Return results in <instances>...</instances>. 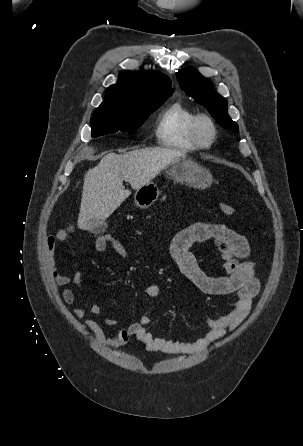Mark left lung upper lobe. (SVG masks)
Returning <instances> with one entry per match:
<instances>
[{
  "instance_id": "5c2ea615",
  "label": "left lung upper lobe",
  "mask_w": 303,
  "mask_h": 446,
  "mask_svg": "<svg viewBox=\"0 0 303 446\" xmlns=\"http://www.w3.org/2000/svg\"><path fill=\"white\" fill-rule=\"evenodd\" d=\"M176 76L181 89L202 104L222 127L238 132V125L228 115L227 100L214 90L210 80L194 67L179 70Z\"/></svg>"
}]
</instances>
